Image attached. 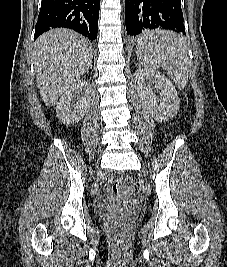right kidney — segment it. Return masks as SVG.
Returning <instances> with one entry per match:
<instances>
[{"instance_id":"obj_1","label":"right kidney","mask_w":227,"mask_h":267,"mask_svg":"<svg viewBox=\"0 0 227 267\" xmlns=\"http://www.w3.org/2000/svg\"><path fill=\"white\" fill-rule=\"evenodd\" d=\"M91 85L88 81L79 80L66 91L56 106L58 119L65 124L79 122L89 105Z\"/></svg>"}]
</instances>
